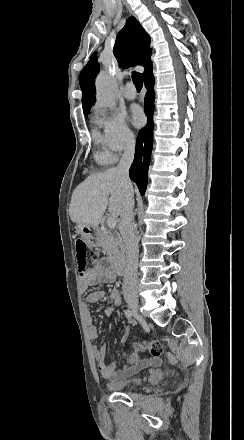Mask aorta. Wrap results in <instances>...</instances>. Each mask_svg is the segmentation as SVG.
<instances>
[{
	"label": "aorta",
	"mask_w": 244,
	"mask_h": 440,
	"mask_svg": "<svg viewBox=\"0 0 244 440\" xmlns=\"http://www.w3.org/2000/svg\"><path fill=\"white\" fill-rule=\"evenodd\" d=\"M117 84L107 72L101 71L96 78V98L103 105L113 107L116 104Z\"/></svg>",
	"instance_id": "obj_1"
}]
</instances>
